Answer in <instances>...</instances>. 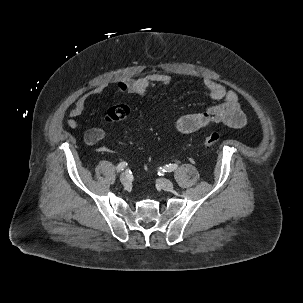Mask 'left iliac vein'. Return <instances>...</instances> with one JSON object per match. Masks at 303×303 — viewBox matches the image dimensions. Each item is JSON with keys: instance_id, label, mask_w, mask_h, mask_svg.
Returning a JSON list of instances; mask_svg holds the SVG:
<instances>
[{"instance_id": "4c4485c4", "label": "left iliac vein", "mask_w": 303, "mask_h": 303, "mask_svg": "<svg viewBox=\"0 0 303 303\" xmlns=\"http://www.w3.org/2000/svg\"><path fill=\"white\" fill-rule=\"evenodd\" d=\"M158 184L165 191H172L174 188L173 182L168 179H164V178L159 179Z\"/></svg>"}]
</instances>
